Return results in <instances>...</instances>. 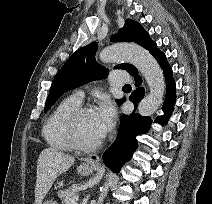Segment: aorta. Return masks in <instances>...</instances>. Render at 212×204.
<instances>
[{
	"label": "aorta",
	"mask_w": 212,
	"mask_h": 204,
	"mask_svg": "<svg viewBox=\"0 0 212 204\" xmlns=\"http://www.w3.org/2000/svg\"><path fill=\"white\" fill-rule=\"evenodd\" d=\"M99 58L103 63L128 61L141 72L150 92L138 106L140 115L151 116L159 108L165 91L164 76L159 64L146 49L134 44H114L104 48ZM108 188L106 181L100 189L98 204L103 203Z\"/></svg>",
	"instance_id": "1"
}]
</instances>
